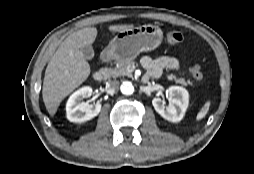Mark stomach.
<instances>
[{
  "label": "stomach",
  "instance_id": "stomach-1",
  "mask_svg": "<svg viewBox=\"0 0 254 174\" xmlns=\"http://www.w3.org/2000/svg\"><path fill=\"white\" fill-rule=\"evenodd\" d=\"M163 32L157 25H142L120 31L103 50L107 60H132L141 52L156 49L162 42Z\"/></svg>",
  "mask_w": 254,
  "mask_h": 174
}]
</instances>
